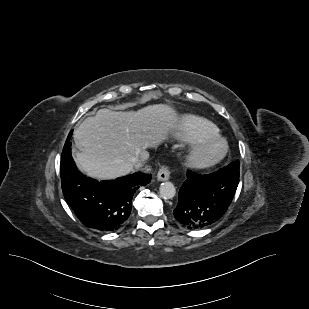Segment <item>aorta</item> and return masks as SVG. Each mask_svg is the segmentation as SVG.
<instances>
[{"instance_id":"1","label":"aorta","mask_w":309,"mask_h":309,"mask_svg":"<svg viewBox=\"0 0 309 309\" xmlns=\"http://www.w3.org/2000/svg\"><path fill=\"white\" fill-rule=\"evenodd\" d=\"M176 194V189L173 183L163 182L160 186V195L164 199H172Z\"/></svg>"}]
</instances>
